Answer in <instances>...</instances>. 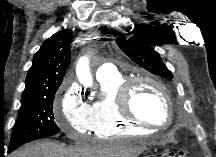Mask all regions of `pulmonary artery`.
Here are the masks:
<instances>
[{
	"label": "pulmonary artery",
	"instance_id": "1",
	"mask_svg": "<svg viewBox=\"0 0 216 157\" xmlns=\"http://www.w3.org/2000/svg\"><path fill=\"white\" fill-rule=\"evenodd\" d=\"M117 74L116 67L110 63L101 64L96 70L97 80H101Z\"/></svg>",
	"mask_w": 216,
	"mask_h": 157
}]
</instances>
